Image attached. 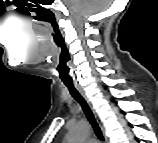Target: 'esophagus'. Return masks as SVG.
Instances as JSON below:
<instances>
[{
  "mask_svg": "<svg viewBox=\"0 0 158 143\" xmlns=\"http://www.w3.org/2000/svg\"><path fill=\"white\" fill-rule=\"evenodd\" d=\"M75 88H76L77 91L81 94V96L86 100V102L88 103V105L91 107V109H92V111H93V114H94V116H95V119H96V121H97V123H98V125H99V127H100V129H101V131H102L104 140L107 142V141H108V138H107V136H106V134H105L104 126H103L102 122L100 121L98 114H97L96 111L93 109L92 103H91L90 100L88 99V97H87V95H86L84 89H83L80 85H77V84H75Z\"/></svg>",
  "mask_w": 158,
  "mask_h": 143,
  "instance_id": "34e87169",
  "label": "esophagus"
}]
</instances>
